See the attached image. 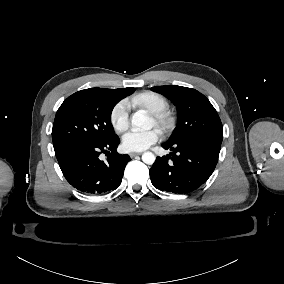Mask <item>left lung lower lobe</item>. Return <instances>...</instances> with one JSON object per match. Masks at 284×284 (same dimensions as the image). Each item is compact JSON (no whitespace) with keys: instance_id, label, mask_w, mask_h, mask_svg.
Returning <instances> with one entry per match:
<instances>
[{"instance_id":"obj_1","label":"left lung lower lobe","mask_w":284,"mask_h":284,"mask_svg":"<svg viewBox=\"0 0 284 284\" xmlns=\"http://www.w3.org/2000/svg\"><path fill=\"white\" fill-rule=\"evenodd\" d=\"M172 153L157 157L150 169L155 188L175 194L196 190L213 173L221 144L207 139H187L177 143L165 142Z\"/></svg>"}]
</instances>
